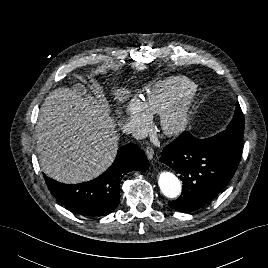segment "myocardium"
I'll return each mask as SVG.
<instances>
[{"instance_id": "f54148a6", "label": "myocardium", "mask_w": 268, "mask_h": 268, "mask_svg": "<svg viewBox=\"0 0 268 268\" xmlns=\"http://www.w3.org/2000/svg\"><path fill=\"white\" fill-rule=\"evenodd\" d=\"M195 105V89L182 93L162 113L160 125L168 136H175L188 127Z\"/></svg>"}]
</instances>
